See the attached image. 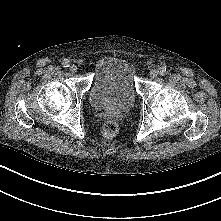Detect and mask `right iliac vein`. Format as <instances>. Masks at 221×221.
I'll list each match as a JSON object with an SVG mask.
<instances>
[{"label":"right iliac vein","mask_w":221,"mask_h":221,"mask_svg":"<svg viewBox=\"0 0 221 221\" xmlns=\"http://www.w3.org/2000/svg\"><path fill=\"white\" fill-rule=\"evenodd\" d=\"M77 66L75 64H71L69 66V70L72 72V73H75L77 71Z\"/></svg>","instance_id":"right-iliac-vein-1"}]
</instances>
